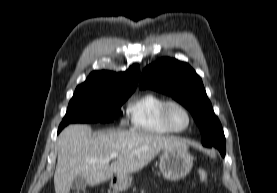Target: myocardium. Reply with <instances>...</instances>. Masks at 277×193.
<instances>
[{"label": "myocardium", "mask_w": 277, "mask_h": 193, "mask_svg": "<svg viewBox=\"0 0 277 193\" xmlns=\"http://www.w3.org/2000/svg\"><path fill=\"white\" fill-rule=\"evenodd\" d=\"M171 106H178L185 112L187 119H188V123L185 128L177 129L171 124V122L169 120V109ZM161 120H162L163 125L172 133L186 132L191 127L192 122H193V118H192V115H191V112L189 111V109L183 103L176 101V100H167L165 102V104L163 105L162 110H161Z\"/></svg>", "instance_id": "obj_1"}]
</instances>
